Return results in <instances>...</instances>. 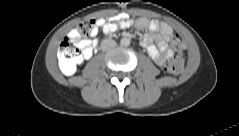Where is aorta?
Here are the masks:
<instances>
[{
    "mask_svg": "<svg viewBox=\"0 0 239 136\" xmlns=\"http://www.w3.org/2000/svg\"><path fill=\"white\" fill-rule=\"evenodd\" d=\"M120 43L122 46H128L130 44V40L128 38H122Z\"/></svg>",
    "mask_w": 239,
    "mask_h": 136,
    "instance_id": "aorta-1",
    "label": "aorta"
}]
</instances>
